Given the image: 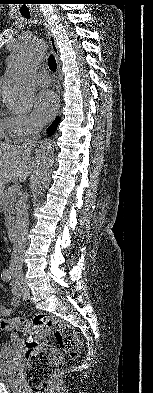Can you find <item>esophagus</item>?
I'll return each mask as SVG.
<instances>
[{"instance_id":"34e87169","label":"esophagus","mask_w":153,"mask_h":393,"mask_svg":"<svg viewBox=\"0 0 153 393\" xmlns=\"http://www.w3.org/2000/svg\"><path fill=\"white\" fill-rule=\"evenodd\" d=\"M46 30H47V34H48V37H49V43H50V46H51L52 53L54 54V56L56 58V61H57L58 74H59L58 77L60 78V70H61V68H60V62H59V49L57 47L55 37L53 36V34L51 32V29H50V27L48 25H46Z\"/></svg>"}]
</instances>
